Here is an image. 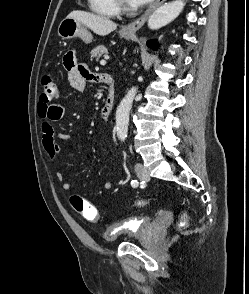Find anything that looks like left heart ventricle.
<instances>
[{
	"mask_svg": "<svg viewBox=\"0 0 249 294\" xmlns=\"http://www.w3.org/2000/svg\"><path fill=\"white\" fill-rule=\"evenodd\" d=\"M128 3H130V0H127ZM131 4V3H130Z\"/></svg>",
	"mask_w": 249,
	"mask_h": 294,
	"instance_id": "1",
	"label": "left heart ventricle"
}]
</instances>
